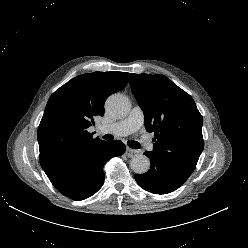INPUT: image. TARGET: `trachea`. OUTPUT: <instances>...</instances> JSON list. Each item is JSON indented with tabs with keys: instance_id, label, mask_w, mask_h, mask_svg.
I'll return each instance as SVG.
<instances>
[{
	"instance_id": "trachea-1",
	"label": "trachea",
	"mask_w": 248,
	"mask_h": 248,
	"mask_svg": "<svg viewBox=\"0 0 248 248\" xmlns=\"http://www.w3.org/2000/svg\"><path fill=\"white\" fill-rule=\"evenodd\" d=\"M103 139L105 140H112L114 137L111 134H106L103 136ZM128 146L133 149H140L141 145L137 141H128Z\"/></svg>"
}]
</instances>
